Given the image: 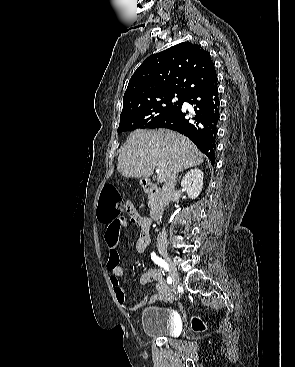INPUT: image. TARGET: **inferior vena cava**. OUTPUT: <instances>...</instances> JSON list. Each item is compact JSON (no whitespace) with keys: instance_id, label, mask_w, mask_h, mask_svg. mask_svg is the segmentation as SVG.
I'll return each mask as SVG.
<instances>
[{"instance_id":"1","label":"inferior vena cava","mask_w":295,"mask_h":367,"mask_svg":"<svg viewBox=\"0 0 295 367\" xmlns=\"http://www.w3.org/2000/svg\"><path fill=\"white\" fill-rule=\"evenodd\" d=\"M178 171L174 170L172 175L165 181L163 187H162V200L163 203L168 206L174 190H175V184H176V177H177ZM157 244L158 246H166L167 245V234L165 231V228L162 230L161 233H159L157 237Z\"/></svg>"}]
</instances>
